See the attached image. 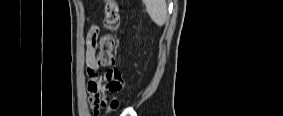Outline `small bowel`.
Returning <instances> with one entry per match:
<instances>
[{
	"instance_id": "1",
	"label": "small bowel",
	"mask_w": 283,
	"mask_h": 116,
	"mask_svg": "<svg viewBox=\"0 0 283 116\" xmlns=\"http://www.w3.org/2000/svg\"><path fill=\"white\" fill-rule=\"evenodd\" d=\"M99 29L97 26H92L88 36L86 45V66L88 74V94L89 104L93 109L96 104L103 103L106 99V92L109 91V81L103 76L99 77V64L96 59L97 40Z\"/></svg>"
}]
</instances>
